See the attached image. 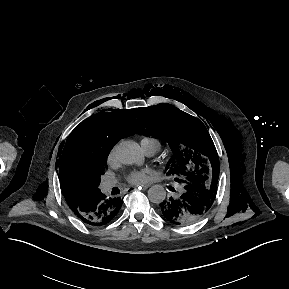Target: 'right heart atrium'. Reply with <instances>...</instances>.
Instances as JSON below:
<instances>
[{
  "mask_svg": "<svg viewBox=\"0 0 289 289\" xmlns=\"http://www.w3.org/2000/svg\"><path fill=\"white\" fill-rule=\"evenodd\" d=\"M116 159V148H112L108 154V162L112 163Z\"/></svg>",
  "mask_w": 289,
  "mask_h": 289,
  "instance_id": "right-heart-atrium-1",
  "label": "right heart atrium"
}]
</instances>
